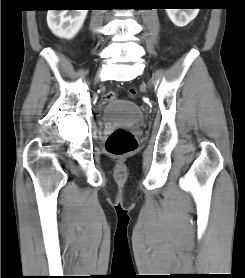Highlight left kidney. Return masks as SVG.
Returning <instances> with one entry per match:
<instances>
[{
    "label": "left kidney",
    "instance_id": "1",
    "mask_svg": "<svg viewBox=\"0 0 245 278\" xmlns=\"http://www.w3.org/2000/svg\"><path fill=\"white\" fill-rule=\"evenodd\" d=\"M170 20L178 27L186 26L198 14L199 8L193 9H166Z\"/></svg>",
    "mask_w": 245,
    "mask_h": 278
}]
</instances>
